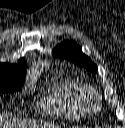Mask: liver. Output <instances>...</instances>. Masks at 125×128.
Wrapping results in <instances>:
<instances>
[{
  "label": "liver",
  "instance_id": "obj_1",
  "mask_svg": "<svg viewBox=\"0 0 125 128\" xmlns=\"http://www.w3.org/2000/svg\"><path fill=\"white\" fill-rule=\"evenodd\" d=\"M6 124L7 122L0 116V128H5ZM34 126L37 128H59V126H54L51 124H34Z\"/></svg>",
  "mask_w": 125,
  "mask_h": 128
}]
</instances>
